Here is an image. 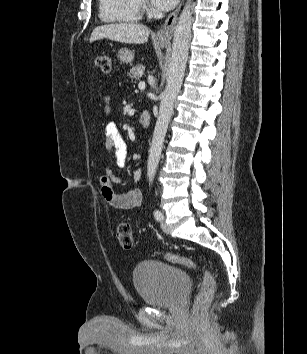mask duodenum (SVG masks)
I'll return each mask as SVG.
<instances>
[{
  "mask_svg": "<svg viewBox=\"0 0 307 354\" xmlns=\"http://www.w3.org/2000/svg\"><path fill=\"white\" fill-rule=\"evenodd\" d=\"M151 113L149 111H143L141 116H140V124L143 127H148L151 123Z\"/></svg>",
  "mask_w": 307,
  "mask_h": 354,
  "instance_id": "410a0bca",
  "label": "duodenum"
}]
</instances>
